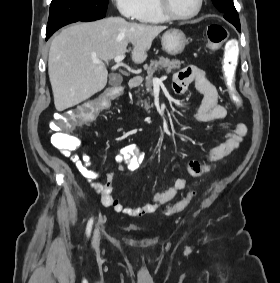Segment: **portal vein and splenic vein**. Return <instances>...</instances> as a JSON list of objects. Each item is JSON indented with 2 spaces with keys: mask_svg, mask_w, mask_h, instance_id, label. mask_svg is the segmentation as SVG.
I'll use <instances>...</instances> for the list:
<instances>
[{
  "mask_svg": "<svg viewBox=\"0 0 280 283\" xmlns=\"http://www.w3.org/2000/svg\"><path fill=\"white\" fill-rule=\"evenodd\" d=\"M125 54H122V55H117L115 58H114V61L117 63V64H121V62L123 61V59L125 58ZM94 63L96 64H100L102 63L101 60H94ZM161 80L159 78H153V83H160Z\"/></svg>",
  "mask_w": 280,
  "mask_h": 283,
  "instance_id": "18ae733b",
  "label": "portal vein and splenic vein"
}]
</instances>
